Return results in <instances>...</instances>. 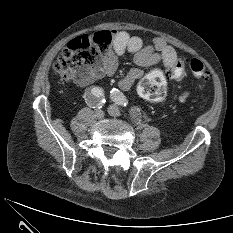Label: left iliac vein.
Here are the masks:
<instances>
[{
    "label": "left iliac vein",
    "instance_id": "left-iliac-vein-1",
    "mask_svg": "<svg viewBox=\"0 0 233 233\" xmlns=\"http://www.w3.org/2000/svg\"><path fill=\"white\" fill-rule=\"evenodd\" d=\"M108 113L113 117H117L120 115V110L116 105H110L108 107Z\"/></svg>",
    "mask_w": 233,
    "mask_h": 233
}]
</instances>
